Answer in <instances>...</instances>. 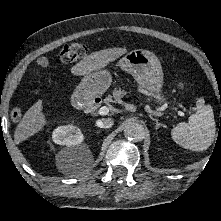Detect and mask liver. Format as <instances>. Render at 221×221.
I'll list each match as a JSON object with an SVG mask.
<instances>
[{
	"mask_svg": "<svg viewBox=\"0 0 221 221\" xmlns=\"http://www.w3.org/2000/svg\"><path fill=\"white\" fill-rule=\"evenodd\" d=\"M127 52L126 48H108L94 52L79 61L71 68V73L76 76L86 75L97 69L104 68L110 62L115 61ZM43 110L42 100H38L24 114L22 120L17 125L14 142L19 144L29 137L35 135L47 124Z\"/></svg>",
	"mask_w": 221,
	"mask_h": 221,
	"instance_id": "liver-1",
	"label": "liver"
}]
</instances>
